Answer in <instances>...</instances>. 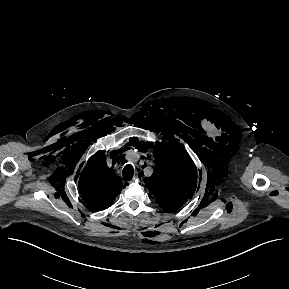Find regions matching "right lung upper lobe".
<instances>
[{
	"label": "right lung upper lobe",
	"mask_w": 289,
	"mask_h": 289,
	"mask_svg": "<svg viewBox=\"0 0 289 289\" xmlns=\"http://www.w3.org/2000/svg\"><path fill=\"white\" fill-rule=\"evenodd\" d=\"M79 189L89 210L108 208L121 192V178L106 167L103 152L93 156L82 171Z\"/></svg>",
	"instance_id": "right-lung-upper-lobe-1"
}]
</instances>
